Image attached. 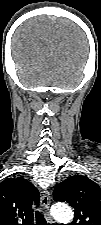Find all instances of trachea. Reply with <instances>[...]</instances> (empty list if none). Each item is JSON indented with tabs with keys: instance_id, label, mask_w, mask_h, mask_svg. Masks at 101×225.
Returning <instances> with one entry per match:
<instances>
[{
	"instance_id": "3493384b",
	"label": "trachea",
	"mask_w": 101,
	"mask_h": 225,
	"mask_svg": "<svg viewBox=\"0 0 101 225\" xmlns=\"http://www.w3.org/2000/svg\"><path fill=\"white\" fill-rule=\"evenodd\" d=\"M36 225H47L46 220L40 211H36Z\"/></svg>"
}]
</instances>
